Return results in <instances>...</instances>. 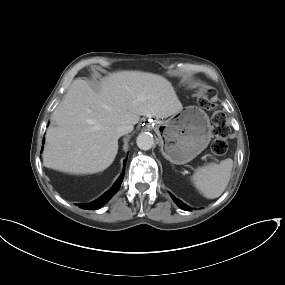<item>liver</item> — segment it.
Returning <instances> with one entry per match:
<instances>
[{"label": "liver", "instance_id": "1", "mask_svg": "<svg viewBox=\"0 0 285 285\" xmlns=\"http://www.w3.org/2000/svg\"><path fill=\"white\" fill-rule=\"evenodd\" d=\"M183 109L172 84L164 77L140 71H120L105 77L94 91L76 79L52 113L46 132L43 165L71 174L107 169L118 152V126L135 125L140 116L168 117Z\"/></svg>", "mask_w": 285, "mask_h": 285}]
</instances>
